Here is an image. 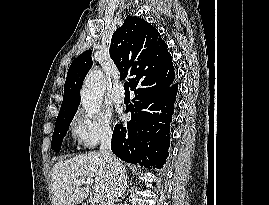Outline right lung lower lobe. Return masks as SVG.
Returning a JSON list of instances; mask_svg holds the SVG:
<instances>
[{
    "label": "right lung lower lobe",
    "instance_id": "right-lung-lower-lobe-1",
    "mask_svg": "<svg viewBox=\"0 0 269 205\" xmlns=\"http://www.w3.org/2000/svg\"><path fill=\"white\" fill-rule=\"evenodd\" d=\"M178 85L174 80L135 91L131 120L114 128L111 149L120 159L162 168L169 156L170 122Z\"/></svg>",
    "mask_w": 269,
    "mask_h": 205
}]
</instances>
